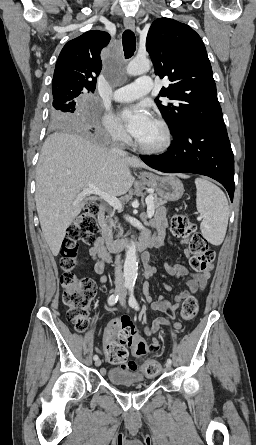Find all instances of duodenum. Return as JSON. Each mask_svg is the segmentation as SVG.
I'll use <instances>...</instances> for the list:
<instances>
[{
    "label": "duodenum",
    "mask_w": 256,
    "mask_h": 445,
    "mask_svg": "<svg viewBox=\"0 0 256 445\" xmlns=\"http://www.w3.org/2000/svg\"><path fill=\"white\" fill-rule=\"evenodd\" d=\"M104 217H105V208L103 206L99 207V221L102 225V236L106 243L107 248L111 252H118L125 248H135L138 251H144L149 246L153 244V240L149 235H142L137 240H129L127 238H115L111 234L108 233L106 228L104 227ZM143 260L147 261V254L143 255Z\"/></svg>",
    "instance_id": "410a0bca"
}]
</instances>
